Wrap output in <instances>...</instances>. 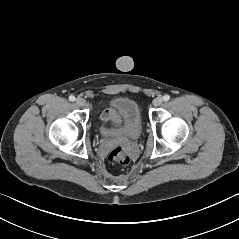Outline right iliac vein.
<instances>
[{
    "instance_id": "1",
    "label": "right iliac vein",
    "mask_w": 239,
    "mask_h": 239,
    "mask_svg": "<svg viewBox=\"0 0 239 239\" xmlns=\"http://www.w3.org/2000/svg\"><path fill=\"white\" fill-rule=\"evenodd\" d=\"M76 104H77L78 106L82 107V106H84V105L86 104V101H85V99H83V98H81V97H78V98L76 99Z\"/></svg>"
}]
</instances>
